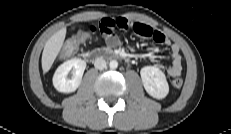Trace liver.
<instances>
[{
  "instance_id": "obj_1",
  "label": "liver",
  "mask_w": 231,
  "mask_h": 134,
  "mask_svg": "<svg viewBox=\"0 0 231 134\" xmlns=\"http://www.w3.org/2000/svg\"><path fill=\"white\" fill-rule=\"evenodd\" d=\"M66 36V28H62L53 34L46 42L42 53V69L46 73L50 70L53 62L59 54Z\"/></svg>"
}]
</instances>
